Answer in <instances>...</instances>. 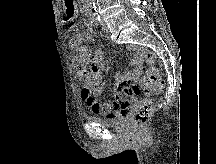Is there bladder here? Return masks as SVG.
<instances>
[{"label": "bladder", "instance_id": "31cf9c89", "mask_svg": "<svg viewBox=\"0 0 216 164\" xmlns=\"http://www.w3.org/2000/svg\"><path fill=\"white\" fill-rule=\"evenodd\" d=\"M91 119L97 122L98 124L107 126V127H121L125 123V116L115 119V120H108V119H103L100 117H92Z\"/></svg>", "mask_w": 216, "mask_h": 164}]
</instances>
